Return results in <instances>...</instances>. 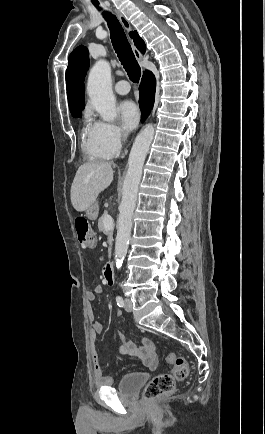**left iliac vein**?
<instances>
[{
  "mask_svg": "<svg viewBox=\"0 0 265 434\" xmlns=\"http://www.w3.org/2000/svg\"><path fill=\"white\" fill-rule=\"evenodd\" d=\"M125 310L131 312L133 310L132 301L129 298L125 299Z\"/></svg>",
  "mask_w": 265,
  "mask_h": 434,
  "instance_id": "1",
  "label": "left iliac vein"
}]
</instances>
